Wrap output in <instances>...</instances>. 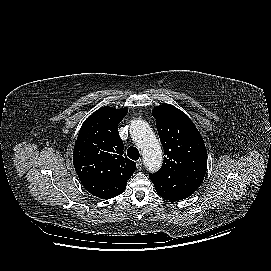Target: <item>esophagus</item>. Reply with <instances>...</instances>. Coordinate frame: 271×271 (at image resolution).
I'll use <instances>...</instances> for the list:
<instances>
[{
  "label": "esophagus",
  "mask_w": 271,
  "mask_h": 271,
  "mask_svg": "<svg viewBox=\"0 0 271 271\" xmlns=\"http://www.w3.org/2000/svg\"><path fill=\"white\" fill-rule=\"evenodd\" d=\"M137 169L141 170L143 167V161L141 159H139L136 163Z\"/></svg>",
  "instance_id": "esophagus-1"
}]
</instances>
